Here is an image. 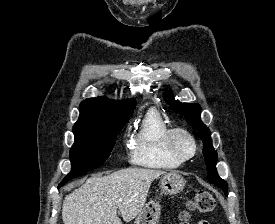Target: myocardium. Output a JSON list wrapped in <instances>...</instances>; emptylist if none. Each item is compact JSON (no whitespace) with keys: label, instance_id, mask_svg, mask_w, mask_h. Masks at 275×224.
Returning a JSON list of instances; mask_svg holds the SVG:
<instances>
[{"label":"myocardium","instance_id":"myocardium-1","mask_svg":"<svg viewBox=\"0 0 275 224\" xmlns=\"http://www.w3.org/2000/svg\"><path fill=\"white\" fill-rule=\"evenodd\" d=\"M179 137H184L190 142L192 146L190 152H184L179 148ZM166 146L169 152L182 162L193 158L198 150V144L194 135L189 130L182 127L172 128L168 131L166 135Z\"/></svg>","mask_w":275,"mask_h":224}]
</instances>
